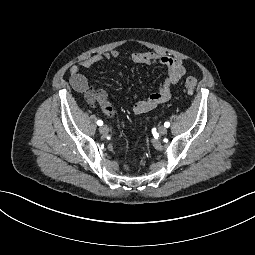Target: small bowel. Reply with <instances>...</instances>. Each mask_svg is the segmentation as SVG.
<instances>
[{"label": "small bowel", "mask_w": 255, "mask_h": 255, "mask_svg": "<svg viewBox=\"0 0 255 255\" xmlns=\"http://www.w3.org/2000/svg\"><path fill=\"white\" fill-rule=\"evenodd\" d=\"M118 57L119 52L117 50H112L111 52L104 54L93 55L73 65L69 70V81L73 89L77 92L84 93L89 104H99L102 110L109 116L113 115L114 111L108 101L107 93L102 89H93L89 85L86 77L81 74V70ZM131 59L134 63L148 65L160 64L165 66L168 70V76L160 86L159 90L151 94L148 98L137 102L133 106L134 113L144 114L153 110L158 105L168 102L171 98L172 87L178 84L185 75L183 62L176 57L157 52H135L131 55Z\"/></svg>", "instance_id": "1"}]
</instances>
